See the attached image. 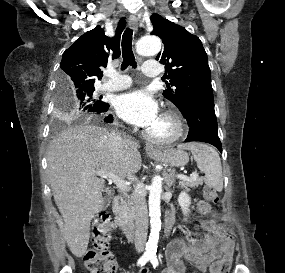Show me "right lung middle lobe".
Instances as JSON below:
<instances>
[{"label":"right lung middle lobe","mask_w":285,"mask_h":273,"mask_svg":"<svg viewBox=\"0 0 285 273\" xmlns=\"http://www.w3.org/2000/svg\"><path fill=\"white\" fill-rule=\"evenodd\" d=\"M94 90V86L71 87L69 82L60 76L57 91V108L60 116L72 121L96 113L103 101Z\"/></svg>","instance_id":"dd1d6c3e"}]
</instances>
